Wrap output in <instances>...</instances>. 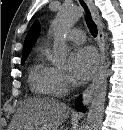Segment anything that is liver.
Masks as SVG:
<instances>
[{
	"instance_id": "6515ba94",
	"label": "liver",
	"mask_w": 123,
	"mask_h": 130,
	"mask_svg": "<svg viewBox=\"0 0 123 130\" xmlns=\"http://www.w3.org/2000/svg\"><path fill=\"white\" fill-rule=\"evenodd\" d=\"M70 108L50 98H28L14 114L8 130H58L67 120Z\"/></svg>"
}]
</instances>
